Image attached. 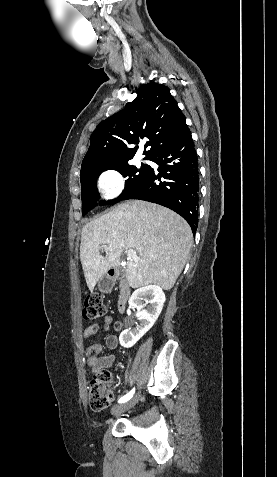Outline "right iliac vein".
Wrapping results in <instances>:
<instances>
[{
	"mask_svg": "<svg viewBox=\"0 0 277 477\" xmlns=\"http://www.w3.org/2000/svg\"><path fill=\"white\" fill-rule=\"evenodd\" d=\"M137 401H138V396H135L134 398H132L131 400H129V401L123 403V404L114 406L111 410L112 415L122 414L123 412L132 408L137 403Z\"/></svg>",
	"mask_w": 277,
	"mask_h": 477,
	"instance_id": "obj_1",
	"label": "right iliac vein"
}]
</instances>
